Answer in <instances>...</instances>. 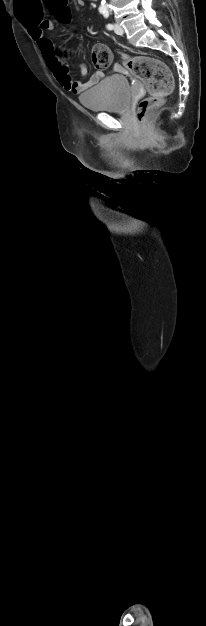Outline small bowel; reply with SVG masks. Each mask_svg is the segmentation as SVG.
Segmentation results:
<instances>
[{
  "label": "small bowel",
  "instance_id": "obj_1",
  "mask_svg": "<svg viewBox=\"0 0 206 626\" xmlns=\"http://www.w3.org/2000/svg\"><path fill=\"white\" fill-rule=\"evenodd\" d=\"M76 4L83 6L84 0H76ZM27 27L29 28L31 38L37 43L55 79L65 90L73 94H81L104 77L103 72L97 71L86 82L74 81L68 72V65L57 57L53 42L45 36L46 31L53 29V23L50 20L43 19L36 24H27ZM120 68V66H117V69ZM79 73L82 76L88 74V68L85 64L79 65Z\"/></svg>",
  "mask_w": 206,
  "mask_h": 626
}]
</instances>
